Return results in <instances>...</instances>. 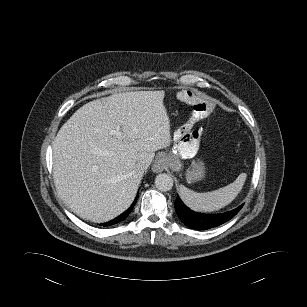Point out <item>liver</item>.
<instances>
[{
  "label": "liver",
  "mask_w": 307,
  "mask_h": 307,
  "mask_svg": "<svg viewBox=\"0 0 307 307\" xmlns=\"http://www.w3.org/2000/svg\"><path fill=\"white\" fill-rule=\"evenodd\" d=\"M164 91L116 93L80 107L60 128L53 177L63 202L79 217L109 221L133 202L155 151L171 144ZM120 127V135L112 130Z\"/></svg>",
  "instance_id": "6515ba94"
}]
</instances>
